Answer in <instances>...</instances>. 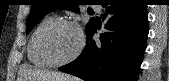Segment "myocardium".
Here are the masks:
<instances>
[{
  "label": "myocardium",
  "instance_id": "myocardium-1",
  "mask_svg": "<svg viewBox=\"0 0 169 81\" xmlns=\"http://www.w3.org/2000/svg\"><path fill=\"white\" fill-rule=\"evenodd\" d=\"M61 26H70V27H74L77 30L79 35V45L71 56H69L67 59L58 61L50 57L47 51L46 43L49 35L53 32V30ZM38 46L42 58L48 63V65L53 67H59L71 63L72 61H74L80 56L85 46V37L81 27L77 22L69 19H57L56 21H54L44 29V31L40 35Z\"/></svg>",
  "mask_w": 169,
  "mask_h": 81
}]
</instances>
